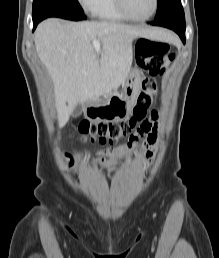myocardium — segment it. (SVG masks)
Returning <instances> with one entry per match:
<instances>
[{
	"instance_id": "myocardium-1",
	"label": "myocardium",
	"mask_w": 219,
	"mask_h": 258,
	"mask_svg": "<svg viewBox=\"0 0 219 258\" xmlns=\"http://www.w3.org/2000/svg\"><path fill=\"white\" fill-rule=\"evenodd\" d=\"M115 1H116V5H117L119 12L126 19H128L130 21H134V22H144V21L151 19L157 13L158 8H159V0H154V8L149 15H147L145 17H134L129 13V11L126 7V4H125V0H115Z\"/></svg>"
}]
</instances>
